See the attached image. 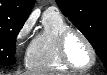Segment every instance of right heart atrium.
<instances>
[{
	"label": "right heart atrium",
	"instance_id": "d8ad5b80",
	"mask_svg": "<svg viewBox=\"0 0 107 75\" xmlns=\"http://www.w3.org/2000/svg\"><path fill=\"white\" fill-rule=\"evenodd\" d=\"M30 30H31V23L30 21H26L23 23V25L16 33L14 43H15V49L18 53L20 52L21 48L24 46L29 36Z\"/></svg>",
	"mask_w": 107,
	"mask_h": 75
}]
</instances>
